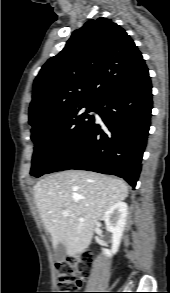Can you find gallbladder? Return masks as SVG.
I'll return each mask as SVG.
<instances>
[{"label": "gallbladder", "mask_w": 170, "mask_h": 293, "mask_svg": "<svg viewBox=\"0 0 170 293\" xmlns=\"http://www.w3.org/2000/svg\"><path fill=\"white\" fill-rule=\"evenodd\" d=\"M66 256V247L63 242H60L56 248H54V259L58 262L63 261Z\"/></svg>", "instance_id": "obj_1"}]
</instances>
